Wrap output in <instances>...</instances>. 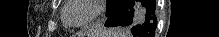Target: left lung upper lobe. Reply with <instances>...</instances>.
Instances as JSON below:
<instances>
[{
  "mask_svg": "<svg viewBox=\"0 0 219 37\" xmlns=\"http://www.w3.org/2000/svg\"><path fill=\"white\" fill-rule=\"evenodd\" d=\"M117 2L118 0H107V11H106L107 16L111 14Z\"/></svg>",
  "mask_w": 219,
  "mask_h": 37,
  "instance_id": "left-lung-upper-lobe-1",
  "label": "left lung upper lobe"
}]
</instances>
